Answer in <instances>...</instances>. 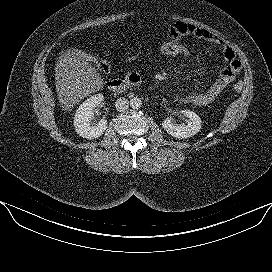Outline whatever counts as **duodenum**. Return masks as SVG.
Listing matches in <instances>:
<instances>
[{"mask_svg":"<svg viewBox=\"0 0 272 272\" xmlns=\"http://www.w3.org/2000/svg\"><path fill=\"white\" fill-rule=\"evenodd\" d=\"M140 84V76L137 74H129L123 79L110 80L106 83L109 90L117 93L126 91L130 87Z\"/></svg>","mask_w":272,"mask_h":272,"instance_id":"410a0bca","label":"duodenum"}]
</instances>
